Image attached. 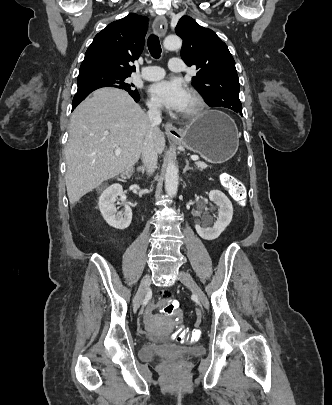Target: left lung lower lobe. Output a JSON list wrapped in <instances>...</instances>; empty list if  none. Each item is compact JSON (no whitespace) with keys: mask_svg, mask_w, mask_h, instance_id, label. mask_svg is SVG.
Returning a JSON list of instances; mask_svg holds the SVG:
<instances>
[{"mask_svg":"<svg viewBox=\"0 0 332 405\" xmlns=\"http://www.w3.org/2000/svg\"><path fill=\"white\" fill-rule=\"evenodd\" d=\"M237 113H241L242 114V109L235 111Z\"/></svg>","mask_w":332,"mask_h":405,"instance_id":"0a47b994","label":"left lung lower lobe"}]
</instances>
